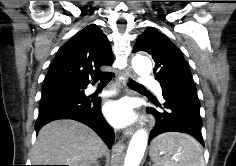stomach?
Wrapping results in <instances>:
<instances>
[{
  "label": "stomach",
  "instance_id": "1",
  "mask_svg": "<svg viewBox=\"0 0 236 166\" xmlns=\"http://www.w3.org/2000/svg\"><path fill=\"white\" fill-rule=\"evenodd\" d=\"M152 152H153V149H152V145H151V148H150V157H151V159L154 161L153 156H152ZM154 163H155V161H154ZM154 166H156V165H154Z\"/></svg>",
  "mask_w": 236,
  "mask_h": 166
}]
</instances>
